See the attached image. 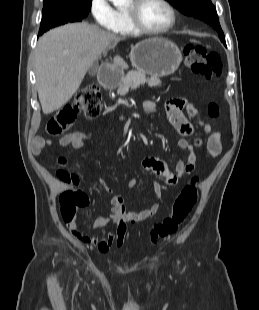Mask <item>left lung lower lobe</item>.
Listing matches in <instances>:
<instances>
[{
    "label": "left lung lower lobe",
    "mask_w": 259,
    "mask_h": 310,
    "mask_svg": "<svg viewBox=\"0 0 259 310\" xmlns=\"http://www.w3.org/2000/svg\"><path fill=\"white\" fill-rule=\"evenodd\" d=\"M224 45H226L225 38H220Z\"/></svg>",
    "instance_id": "1"
}]
</instances>
